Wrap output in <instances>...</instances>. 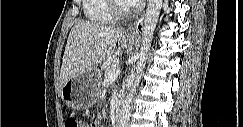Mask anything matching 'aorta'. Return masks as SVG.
I'll list each match as a JSON object with an SVG mask.
<instances>
[{
  "label": "aorta",
  "instance_id": "762f6f07",
  "mask_svg": "<svg viewBox=\"0 0 243 127\" xmlns=\"http://www.w3.org/2000/svg\"><path fill=\"white\" fill-rule=\"evenodd\" d=\"M163 0H149L148 7L144 19L143 34H142V45L138 55V62L136 65V74L131 86V91L123 102L122 109L119 114V127H128L130 115H131V104L133 101V94L138 87L143 70L145 68L148 51L151 46L153 34L158 22L160 10L162 8Z\"/></svg>",
  "mask_w": 243,
  "mask_h": 127
}]
</instances>
